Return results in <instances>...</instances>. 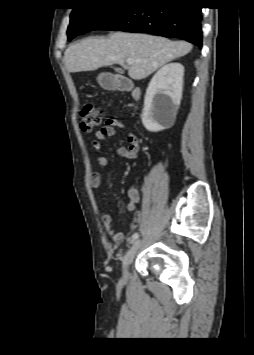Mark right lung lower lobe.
Listing matches in <instances>:
<instances>
[{
    "mask_svg": "<svg viewBox=\"0 0 254 355\" xmlns=\"http://www.w3.org/2000/svg\"><path fill=\"white\" fill-rule=\"evenodd\" d=\"M201 20L196 0H132L98 29L181 38L201 47Z\"/></svg>",
    "mask_w": 254,
    "mask_h": 355,
    "instance_id": "right-lung-lower-lobe-1",
    "label": "right lung lower lobe"
}]
</instances>
